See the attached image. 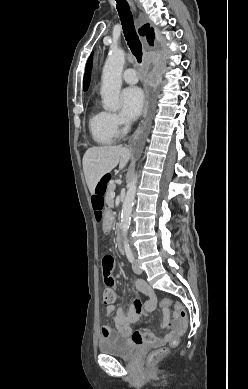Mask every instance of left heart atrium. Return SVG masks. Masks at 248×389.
I'll return each instance as SVG.
<instances>
[{"mask_svg": "<svg viewBox=\"0 0 248 389\" xmlns=\"http://www.w3.org/2000/svg\"><path fill=\"white\" fill-rule=\"evenodd\" d=\"M122 113L129 119H136L144 106V94L138 87L125 88L121 93Z\"/></svg>", "mask_w": 248, "mask_h": 389, "instance_id": "39dd6f15", "label": "left heart atrium"}]
</instances>
